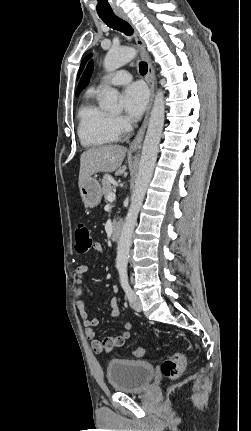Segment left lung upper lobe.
<instances>
[{
    "label": "left lung upper lobe",
    "mask_w": 251,
    "mask_h": 431,
    "mask_svg": "<svg viewBox=\"0 0 251 431\" xmlns=\"http://www.w3.org/2000/svg\"><path fill=\"white\" fill-rule=\"evenodd\" d=\"M90 57H91V55L89 54L88 56H86V57L83 59V61H82V63H81V66H80V69H79V72H78V77H79V75L81 74V72H82V70H83V68H84V66H85V64H86V62H87V60H88Z\"/></svg>",
    "instance_id": "5c2ea615"
}]
</instances>
